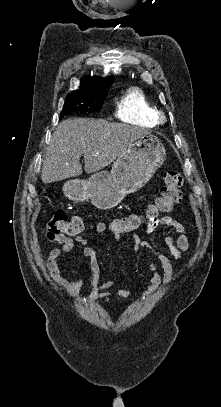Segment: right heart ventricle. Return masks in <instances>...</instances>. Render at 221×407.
<instances>
[{
  "label": "right heart ventricle",
  "mask_w": 221,
  "mask_h": 407,
  "mask_svg": "<svg viewBox=\"0 0 221 407\" xmlns=\"http://www.w3.org/2000/svg\"><path fill=\"white\" fill-rule=\"evenodd\" d=\"M158 107L147 92L138 86L129 88L118 99L115 115L124 122L155 125L158 122Z\"/></svg>",
  "instance_id": "1"
}]
</instances>
